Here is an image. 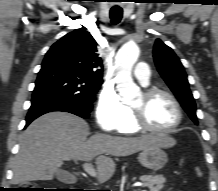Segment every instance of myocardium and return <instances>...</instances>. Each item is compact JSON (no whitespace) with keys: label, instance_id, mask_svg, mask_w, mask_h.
<instances>
[{"label":"myocardium","instance_id":"myocardium-1","mask_svg":"<svg viewBox=\"0 0 218 191\" xmlns=\"http://www.w3.org/2000/svg\"><path fill=\"white\" fill-rule=\"evenodd\" d=\"M143 95L147 101L159 95L167 97L173 103L176 109L177 120L169 128H164V129L154 128L149 124L143 109L132 107L133 122H134L135 127L138 130L150 132L154 134H169V133L174 132L180 127L183 121V110H182L181 104L179 103V101L176 99V97L172 93L166 90H163V89H159V88H149L143 92Z\"/></svg>","mask_w":218,"mask_h":191}]
</instances>
